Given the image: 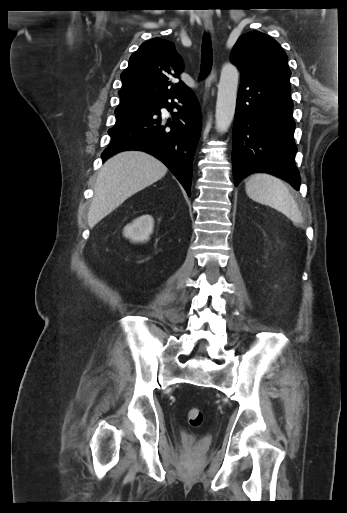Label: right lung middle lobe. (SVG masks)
Returning a JSON list of instances; mask_svg holds the SVG:
<instances>
[{
	"label": "right lung middle lobe",
	"mask_w": 347,
	"mask_h": 513,
	"mask_svg": "<svg viewBox=\"0 0 347 513\" xmlns=\"http://www.w3.org/2000/svg\"><path fill=\"white\" fill-rule=\"evenodd\" d=\"M148 105H151V104H147L145 106H148ZM143 106V107H145ZM130 109L126 108V107H117L116 110H115V113H120V112H125V111H129Z\"/></svg>",
	"instance_id": "obj_1"
}]
</instances>
